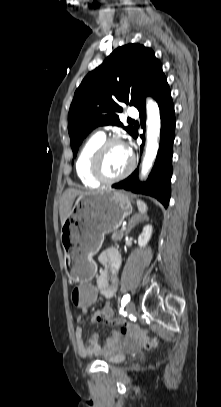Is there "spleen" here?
<instances>
[{
    "label": "spleen",
    "instance_id": "spleen-1",
    "mask_svg": "<svg viewBox=\"0 0 221 407\" xmlns=\"http://www.w3.org/2000/svg\"><path fill=\"white\" fill-rule=\"evenodd\" d=\"M137 207L141 214H145L148 210L146 203L142 200H137Z\"/></svg>",
    "mask_w": 221,
    "mask_h": 407
}]
</instances>
